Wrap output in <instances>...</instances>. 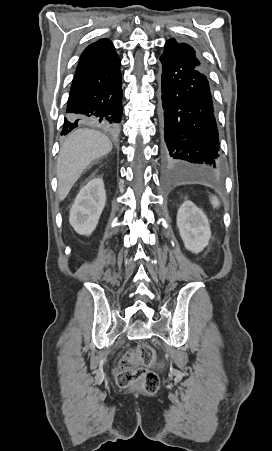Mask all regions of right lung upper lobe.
Here are the masks:
<instances>
[{
  "instance_id": "right-lung-upper-lobe-1",
  "label": "right lung upper lobe",
  "mask_w": 272,
  "mask_h": 451,
  "mask_svg": "<svg viewBox=\"0 0 272 451\" xmlns=\"http://www.w3.org/2000/svg\"><path fill=\"white\" fill-rule=\"evenodd\" d=\"M114 46L111 41L107 39H100L95 43L89 45L82 53L79 62H83L88 59L97 58L108 55L114 52Z\"/></svg>"
}]
</instances>
